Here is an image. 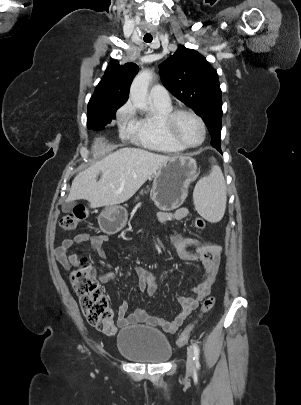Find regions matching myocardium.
I'll list each match as a JSON object with an SVG mask.
<instances>
[{
    "label": "myocardium",
    "mask_w": 301,
    "mask_h": 405,
    "mask_svg": "<svg viewBox=\"0 0 301 405\" xmlns=\"http://www.w3.org/2000/svg\"><path fill=\"white\" fill-rule=\"evenodd\" d=\"M184 114H188V115H191L192 117H194L201 127L202 137H201L200 142H198L197 144H194V145L187 144L186 142H184L181 139V137L177 133V130H176L177 121H178L179 117ZM162 128L168 137H170L172 140H174L177 144H179L184 149L198 148L204 143V141L206 139L205 122L203 121V119L201 118V116L199 114H197L195 111L190 110V109L182 108V109L172 110L171 112H169L162 119Z\"/></svg>",
    "instance_id": "f54148a6"
}]
</instances>
